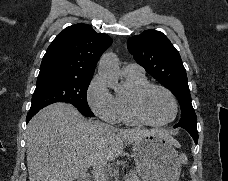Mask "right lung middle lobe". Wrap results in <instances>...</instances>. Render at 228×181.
Instances as JSON below:
<instances>
[{"mask_svg":"<svg viewBox=\"0 0 228 181\" xmlns=\"http://www.w3.org/2000/svg\"><path fill=\"white\" fill-rule=\"evenodd\" d=\"M91 79H75L58 75L38 77L30 109H42L55 102L74 105L81 114L94 117L86 93Z\"/></svg>","mask_w":228,"mask_h":181,"instance_id":"1","label":"right lung middle lobe"}]
</instances>
